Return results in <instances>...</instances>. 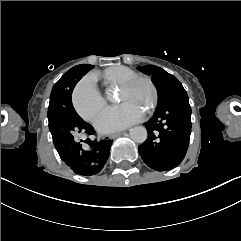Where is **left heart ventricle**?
<instances>
[{"label": "left heart ventricle", "mask_w": 241, "mask_h": 241, "mask_svg": "<svg viewBox=\"0 0 241 241\" xmlns=\"http://www.w3.org/2000/svg\"><path fill=\"white\" fill-rule=\"evenodd\" d=\"M153 92L154 85L152 81L148 80V77L140 78V80L129 85L128 89L123 93V98L126 100L127 105L134 106L137 109H148Z\"/></svg>", "instance_id": "1"}]
</instances>
